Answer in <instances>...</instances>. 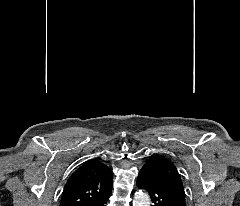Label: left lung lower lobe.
Segmentation results:
<instances>
[{
    "label": "left lung lower lobe",
    "instance_id": "0a47b994",
    "mask_svg": "<svg viewBox=\"0 0 240 206\" xmlns=\"http://www.w3.org/2000/svg\"><path fill=\"white\" fill-rule=\"evenodd\" d=\"M137 186L149 192L153 203L152 206H184L168 191L148 164H144L141 168Z\"/></svg>",
    "mask_w": 240,
    "mask_h": 206
}]
</instances>
